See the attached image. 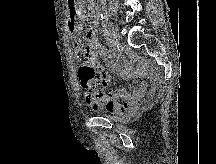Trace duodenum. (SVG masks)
Masks as SVG:
<instances>
[{
    "instance_id": "1",
    "label": "duodenum",
    "mask_w": 216,
    "mask_h": 164,
    "mask_svg": "<svg viewBox=\"0 0 216 164\" xmlns=\"http://www.w3.org/2000/svg\"><path fill=\"white\" fill-rule=\"evenodd\" d=\"M70 9H76V0H68ZM91 14L94 18L98 15V4L95 2L90 5Z\"/></svg>"
}]
</instances>
